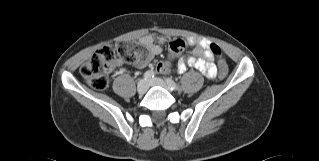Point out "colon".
<instances>
[{
	"instance_id": "obj_1",
	"label": "colon",
	"mask_w": 319,
	"mask_h": 161,
	"mask_svg": "<svg viewBox=\"0 0 319 161\" xmlns=\"http://www.w3.org/2000/svg\"><path fill=\"white\" fill-rule=\"evenodd\" d=\"M186 47L184 41H178L170 44V49L175 53L182 52ZM212 53L217 57L220 68L218 77L224 79L227 76V69L222 59L220 48L212 44ZM119 57L125 62L135 63L141 60L142 63L147 62V51L140 45H136L131 41H118L94 53L88 61H86L80 73L84 81L96 90H103L109 83L108 73L114 67L116 58ZM164 63H160V67H164Z\"/></svg>"
}]
</instances>
